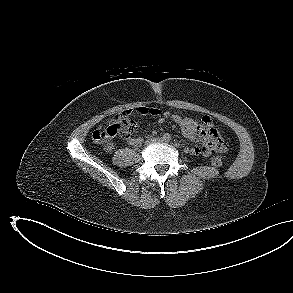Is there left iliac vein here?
Here are the masks:
<instances>
[{
	"label": "left iliac vein",
	"mask_w": 293,
	"mask_h": 293,
	"mask_svg": "<svg viewBox=\"0 0 293 293\" xmlns=\"http://www.w3.org/2000/svg\"><path fill=\"white\" fill-rule=\"evenodd\" d=\"M159 142H162V143H168V141L164 140V139H159L158 140Z\"/></svg>",
	"instance_id": "left-iliac-vein-1"
}]
</instances>
